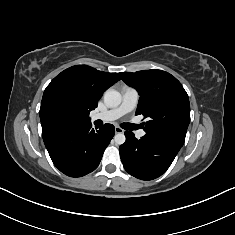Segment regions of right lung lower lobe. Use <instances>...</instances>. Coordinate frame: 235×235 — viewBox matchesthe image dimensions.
Listing matches in <instances>:
<instances>
[{"instance_id": "98d812e1", "label": "right lung lower lobe", "mask_w": 235, "mask_h": 235, "mask_svg": "<svg viewBox=\"0 0 235 235\" xmlns=\"http://www.w3.org/2000/svg\"><path fill=\"white\" fill-rule=\"evenodd\" d=\"M115 134L111 124L97 129L91 123L61 126L43 134L54 165L65 175L81 177L94 171Z\"/></svg>"}]
</instances>
